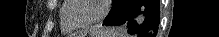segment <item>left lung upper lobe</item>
Instances as JSON below:
<instances>
[{
	"instance_id": "left-lung-upper-lobe-1",
	"label": "left lung upper lobe",
	"mask_w": 219,
	"mask_h": 37,
	"mask_svg": "<svg viewBox=\"0 0 219 37\" xmlns=\"http://www.w3.org/2000/svg\"><path fill=\"white\" fill-rule=\"evenodd\" d=\"M117 0H112V5L114 6V4L116 3Z\"/></svg>"
}]
</instances>
